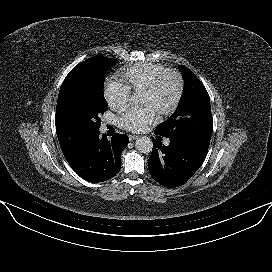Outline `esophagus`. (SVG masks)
<instances>
[{
	"label": "esophagus",
	"instance_id": "esophagus-1",
	"mask_svg": "<svg viewBox=\"0 0 272 272\" xmlns=\"http://www.w3.org/2000/svg\"><path fill=\"white\" fill-rule=\"evenodd\" d=\"M137 138H138L137 135H129V140H130V141H133V140H135V139H137Z\"/></svg>",
	"mask_w": 272,
	"mask_h": 272
}]
</instances>
